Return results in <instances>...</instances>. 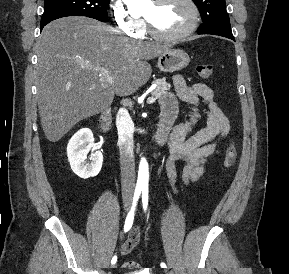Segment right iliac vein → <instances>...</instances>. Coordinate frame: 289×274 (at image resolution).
<instances>
[{"mask_svg": "<svg viewBox=\"0 0 289 274\" xmlns=\"http://www.w3.org/2000/svg\"><path fill=\"white\" fill-rule=\"evenodd\" d=\"M124 205H125L126 211H129L130 205H131V199L130 198H125ZM112 268H115V265H113Z\"/></svg>", "mask_w": 289, "mask_h": 274, "instance_id": "1", "label": "right iliac vein"}]
</instances>
